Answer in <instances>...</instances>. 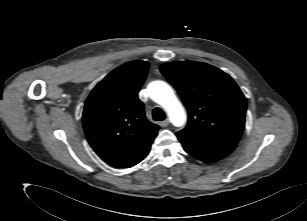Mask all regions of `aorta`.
<instances>
[{
	"instance_id": "aorta-1",
	"label": "aorta",
	"mask_w": 307,
	"mask_h": 221,
	"mask_svg": "<svg viewBox=\"0 0 307 221\" xmlns=\"http://www.w3.org/2000/svg\"><path fill=\"white\" fill-rule=\"evenodd\" d=\"M148 93L153 101L166 110L174 126L180 127L185 123L186 114L184 108L167 83L164 81L151 82L148 86Z\"/></svg>"
}]
</instances>
